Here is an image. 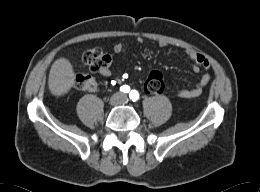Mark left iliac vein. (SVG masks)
<instances>
[{"instance_id":"1","label":"left iliac vein","mask_w":260,"mask_h":192,"mask_svg":"<svg viewBox=\"0 0 260 192\" xmlns=\"http://www.w3.org/2000/svg\"><path fill=\"white\" fill-rule=\"evenodd\" d=\"M126 101H127V97L124 96V97L122 98V102H126Z\"/></svg>"}]
</instances>
